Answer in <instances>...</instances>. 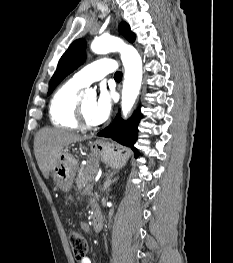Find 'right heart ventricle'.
<instances>
[{
    "mask_svg": "<svg viewBox=\"0 0 233 263\" xmlns=\"http://www.w3.org/2000/svg\"><path fill=\"white\" fill-rule=\"evenodd\" d=\"M81 88L82 86L70 79L57 89L49 106V116L53 125L71 129L80 127L76 110Z\"/></svg>",
    "mask_w": 233,
    "mask_h": 263,
    "instance_id": "e07e8e85",
    "label": "right heart ventricle"
}]
</instances>
